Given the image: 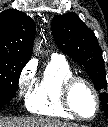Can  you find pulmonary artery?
<instances>
[{"mask_svg":"<svg viewBox=\"0 0 108 127\" xmlns=\"http://www.w3.org/2000/svg\"><path fill=\"white\" fill-rule=\"evenodd\" d=\"M52 59H61V60H64V57L62 55H59V54L54 53L52 55Z\"/></svg>","mask_w":108,"mask_h":127,"instance_id":"e3ab8cb5","label":"pulmonary artery"}]
</instances>
